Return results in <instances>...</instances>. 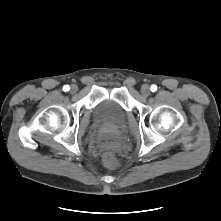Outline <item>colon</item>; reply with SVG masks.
<instances>
[{
    "mask_svg": "<svg viewBox=\"0 0 221 221\" xmlns=\"http://www.w3.org/2000/svg\"><path fill=\"white\" fill-rule=\"evenodd\" d=\"M103 160L104 163L110 168H117L119 166L115 158L114 152L110 149L105 150L103 154Z\"/></svg>",
    "mask_w": 221,
    "mask_h": 221,
    "instance_id": "obj_1",
    "label": "colon"
}]
</instances>
